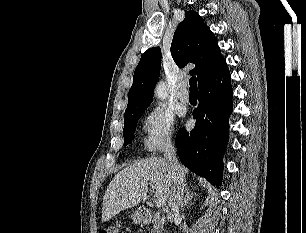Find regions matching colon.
Returning <instances> with one entry per match:
<instances>
[{"mask_svg":"<svg viewBox=\"0 0 306 233\" xmlns=\"http://www.w3.org/2000/svg\"><path fill=\"white\" fill-rule=\"evenodd\" d=\"M121 223L113 222L100 228L99 233H120Z\"/></svg>","mask_w":306,"mask_h":233,"instance_id":"obj_1","label":"colon"}]
</instances>
